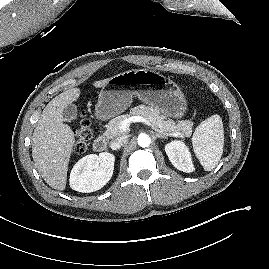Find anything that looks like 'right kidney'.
I'll use <instances>...</instances> for the list:
<instances>
[{
    "label": "right kidney",
    "instance_id": "obj_1",
    "mask_svg": "<svg viewBox=\"0 0 269 269\" xmlns=\"http://www.w3.org/2000/svg\"><path fill=\"white\" fill-rule=\"evenodd\" d=\"M115 156L109 152L90 154L80 159L70 173V187L90 193L101 189L111 179Z\"/></svg>",
    "mask_w": 269,
    "mask_h": 269
}]
</instances>
